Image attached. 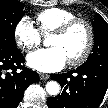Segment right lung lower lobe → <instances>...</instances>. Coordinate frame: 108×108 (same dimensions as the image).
<instances>
[{
    "mask_svg": "<svg viewBox=\"0 0 108 108\" xmlns=\"http://www.w3.org/2000/svg\"><path fill=\"white\" fill-rule=\"evenodd\" d=\"M24 62L17 47L0 45V108H17L25 89L39 80L38 73L24 67Z\"/></svg>",
    "mask_w": 108,
    "mask_h": 108,
    "instance_id": "right-lung-lower-lobe-1",
    "label": "right lung lower lobe"
}]
</instances>
